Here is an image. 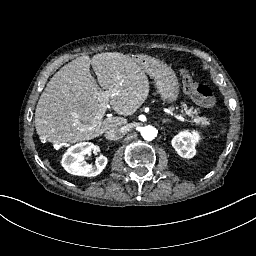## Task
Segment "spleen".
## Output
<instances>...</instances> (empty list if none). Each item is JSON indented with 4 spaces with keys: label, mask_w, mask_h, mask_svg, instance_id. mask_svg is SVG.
<instances>
[{
    "label": "spleen",
    "mask_w": 256,
    "mask_h": 256,
    "mask_svg": "<svg viewBox=\"0 0 256 256\" xmlns=\"http://www.w3.org/2000/svg\"><path fill=\"white\" fill-rule=\"evenodd\" d=\"M227 131H228L227 127L221 126L220 129H219V134L221 136H225L227 134Z\"/></svg>",
    "instance_id": "1"
}]
</instances>
